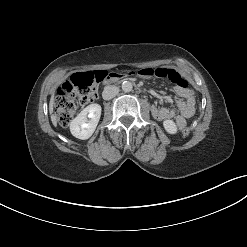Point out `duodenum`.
Masks as SVG:
<instances>
[{
	"mask_svg": "<svg viewBox=\"0 0 247 247\" xmlns=\"http://www.w3.org/2000/svg\"><path fill=\"white\" fill-rule=\"evenodd\" d=\"M119 80H117V82H118ZM113 84H115V83H113ZM113 84H107V87H109V86H111V85H113Z\"/></svg>",
	"mask_w": 247,
	"mask_h": 247,
	"instance_id": "obj_1",
	"label": "duodenum"
}]
</instances>
